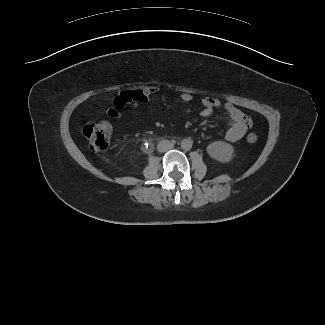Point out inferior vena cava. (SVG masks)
<instances>
[{
  "instance_id": "602c4592",
  "label": "inferior vena cava",
  "mask_w": 325,
  "mask_h": 325,
  "mask_svg": "<svg viewBox=\"0 0 325 325\" xmlns=\"http://www.w3.org/2000/svg\"><path fill=\"white\" fill-rule=\"evenodd\" d=\"M174 147V144L169 141V140H162L161 142H159L158 144V151L159 152H166L170 149H172Z\"/></svg>"
}]
</instances>
